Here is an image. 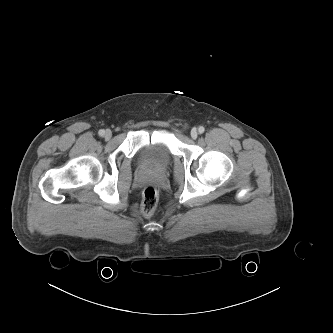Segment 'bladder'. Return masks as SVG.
Wrapping results in <instances>:
<instances>
[{
	"instance_id": "1",
	"label": "bladder",
	"mask_w": 333,
	"mask_h": 333,
	"mask_svg": "<svg viewBox=\"0 0 333 333\" xmlns=\"http://www.w3.org/2000/svg\"><path fill=\"white\" fill-rule=\"evenodd\" d=\"M172 160V153L164 141H158L145 146L139 153V164L145 169L162 170L167 168Z\"/></svg>"
}]
</instances>
